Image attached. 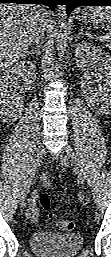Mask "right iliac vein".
Segmentation results:
<instances>
[{"instance_id":"obj_1","label":"right iliac vein","mask_w":111,"mask_h":257,"mask_svg":"<svg viewBox=\"0 0 111 257\" xmlns=\"http://www.w3.org/2000/svg\"><path fill=\"white\" fill-rule=\"evenodd\" d=\"M43 154H44V147L42 145H39L38 148L36 149L35 155L33 157L32 160V164H31V169L29 172V175L27 177L26 183L28 186H31V184L34 181L36 172L38 170V167L42 161L43 158ZM28 195V190H23L21 193V198H20V205L23 206L24 202L27 198Z\"/></svg>"}]
</instances>
